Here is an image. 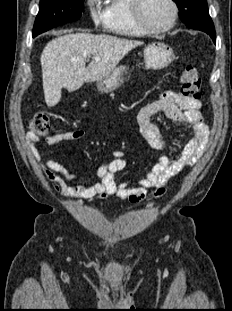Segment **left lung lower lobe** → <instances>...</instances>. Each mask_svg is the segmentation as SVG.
<instances>
[{
	"instance_id": "1",
	"label": "left lung lower lobe",
	"mask_w": 232,
	"mask_h": 311,
	"mask_svg": "<svg viewBox=\"0 0 232 311\" xmlns=\"http://www.w3.org/2000/svg\"><path fill=\"white\" fill-rule=\"evenodd\" d=\"M189 28L206 32L207 34L210 35L213 42L216 43L215 28L211 20V17L209 16V13L205 15L203 18L197 20Z\"/></svg>"
}]
</instances>
